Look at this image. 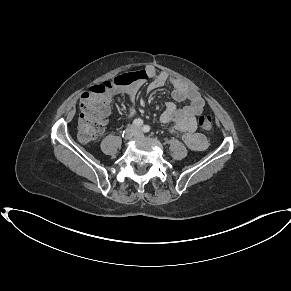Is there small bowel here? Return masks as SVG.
<instances>
[{"label": "small bowel", "instance_id": "c3829d8e", "mask_svg": "<svg viewBox=\"0 0 291 291\" xmlns=\"http://www.w3.org/2000/svg\"><path fill=\"white\" fill-rule=\"evenodd\" d=\"M152 78L149 85L150 90H155L171 84L173 86L172 96L176 101H188V105L178 108L173 102H166L165 109L160 117L162 123H174V129L183 132L182 140L192 150L201 151L206 147L205 138L197 133L196 117L204 108V100L192 86L181 80L170 77L165 72L157 73L153 66H147L138 72V79L130 85L118 90V94L125 95L133 101L143 82ZM134 107L128 106L126 118L132 117Z\"/></svg>", "mask_w": 291, "mask_h": 291}]
</instances>
